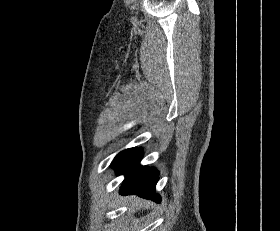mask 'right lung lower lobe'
I'll return each instance as SVG.
<instances>
[{
  "label": "right lung lower lobe",
  "mask_w": 280,
  "mask_h": 231,
  "mask_svg": "<svg viewBox=\"0 0 280 231\" xmlns=\"http://www.w3.org/2000/svg\"><path fill=\"white\" fill-rule=\"evenodd\" d=\"M142 155L140 149L130 148L120 152L111 163L117 174H125L120 194H137L160 203L161 198L155 193L159 172L154 167L140 166Z\"/></svg>",
  "instance_id": "obj_1"
}]
</instances>
